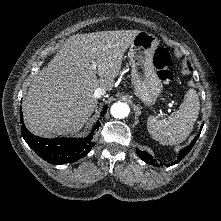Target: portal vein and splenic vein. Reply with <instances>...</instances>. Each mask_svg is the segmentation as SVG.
<instances>
[{
	"label": "portal vein and splenic vein",
	"instance_id": "18ae733b",
	"mask_svg": "<svg viewBox=\"0 0 221 221\" xmlns=\"http://www.w3.org/2000/svg\"><path fill=\"white\" fill-rule=\"evenodd\" d=\"M93 69H96V64L94 63V65H93Z\"/></svg>",
	"mask_w": 221,
	"mask_h": 221
}]
</instances>
